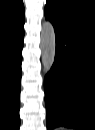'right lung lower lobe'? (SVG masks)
<instances>
[{"instance_id":"obj_1","label":"right lung lower lobe","mask_w":95,"mask_h":130,"mask_svg":"<svg viewBox=\"0 0 95 130\" xmlns=\"http://www.w3.org/2000/svg\"><path fill=\"white\" fill-rule=\"evenodd\" d=\"M24 30L0 39V117L1 127L19 130L21 62Z\"/></svg>"}]
</instances>
